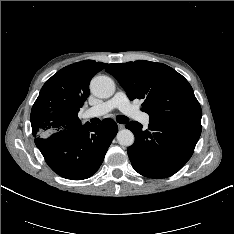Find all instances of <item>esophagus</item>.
Here are the masks:
<instances>
[{"mask_svg":"<svg viewBox=\"0 0 234 234\" xmlns=\"http://www.w3.org/2000/svg\"><path fill=\"white\" fill-rule=\"evenodd\" d=\"M125 128V125L124 124H118V129L119 130H122V129H124Z\"/></svg>","mask_w":234,"mask_h":234,"instance_id":"esophagus-1","label":"esophagus"}]
</instances>
